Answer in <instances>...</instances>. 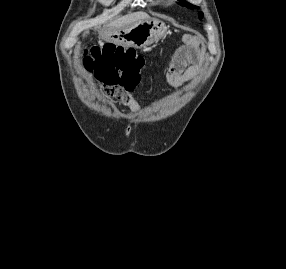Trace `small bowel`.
Masks as SVG:
<instances>
[{
	"mask_svg": "<svg viewBox=\"0 0 286 269\" xmlns=\"http://www.w3.org/2000/svg\"><path fill=\"white\" fill-rule=\"evenodd\" d=\"M204 61L205 52L200 41L186 38L185 45L177 50L166 73L168 84L176 88L194 79L200 73ZM113 97L119 99L132 111L137 112L139 110L138 103L132 98L129 91L117 88Z\"/></svg>",
	"mask_w": 286,
	"mask_h": 269,
	"instance_id": "c3829d8e",
	"label": "small bowel"
}]
</instances>
